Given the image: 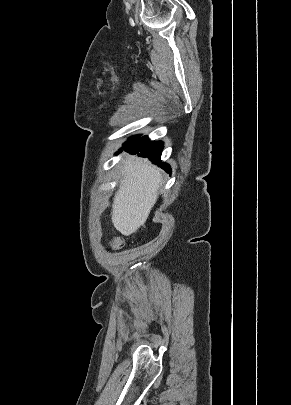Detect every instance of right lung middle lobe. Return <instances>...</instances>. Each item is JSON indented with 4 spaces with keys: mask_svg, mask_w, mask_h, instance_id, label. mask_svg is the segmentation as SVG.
<instances>
[{
    "mask_svg": "<svg viewBox=\"0 0 291 405\" xmlns=\"http://www.w3.org/2000/svg\"><path fill=\"white\" fill-rule=\"evenodd\" d=\"M139 137H140V135L131 137V138L124 144V146H125V145H128V144H130V143H132L133 141H135V140L138 139Z\"/></svg>",
    "mask_w": 291,
    "mask_h": 405,
    "instance_id": "obj_1",
    "label": "right lung middle lobe"
}]
</instances>
